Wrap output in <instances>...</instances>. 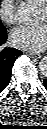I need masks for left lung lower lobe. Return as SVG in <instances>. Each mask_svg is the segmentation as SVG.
<instances>
[{"mask_svg": "<svg viewBox=\"0 0 47 129\" xmlns=\"http://www.w3.org/2000/svg\"><path fill=\"white\" fill-rule=\"evenodd\" d=\"M45 88L47 89V79L43 81Z\"/></svg>", "mask_w": 47, "mask_h": 129, "instance_id": "0a47b994", "label": "left lung lower lobe"}]
</instances>
